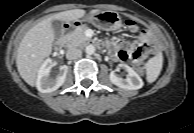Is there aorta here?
Instances as JSON below:
<instances>
[{
    "instance_id": "aorta-1",
    "label": "aorta",
    "mask_w": 194,
    "mask_h": 133,
    "mask_svg": "<svg viewBox=\"0 0 194 133\" xmlns=\"http://www.w3.org/2000/svg\"><path fill=\"white\" fill-rule=\"evenodd\" d=\"M85 52L88 54V55H92L94 54L95 52V47L93 45H88L86 46L85 48Z\"/></svg>"
}]
</instances>
